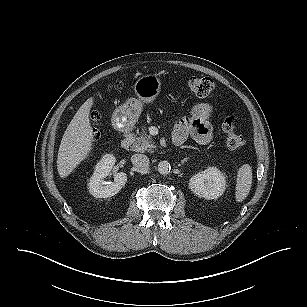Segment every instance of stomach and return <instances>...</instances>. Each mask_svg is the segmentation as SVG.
Listing matches in <instances>:
<instances>
[{
  "mask_svg": "<svg viewBox=\"0 0 307 307\" xmlns=\"http://www.w3.org/2000/svg\"><path fill=\"white\" fill-rule=\"evenodd\" d=\"M137 98H129L115 109L112 123L115 129L123 131L134 126L137 122L144 103L153 102L161 91V80L155 74L140 77L134 84Z\"/></svg>",
  "mask_w": 307,
  "mask_h": 307,
  "instance_id": "0dacf381",
  "label": "stomach"
}]
</instances>
